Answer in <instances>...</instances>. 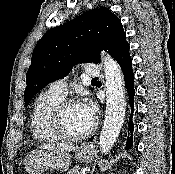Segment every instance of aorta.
<instances>
[{"label":"aorta","mask_w":175,"mask_h":174,"mask_svg":"<svg viewBox=\"0 0 175 174\" xmlns=\"http://www.w3.org/2000/svg\"><path fill=\"white\" fill-rule=\"evenodd\" d=\"M106 110L104 125L99 137V147L102 153H107L119 136L125 117V90L122 70L119 64L108 54L102 56Z\"/></svg>","instance_id":"1"}]
</instances>
